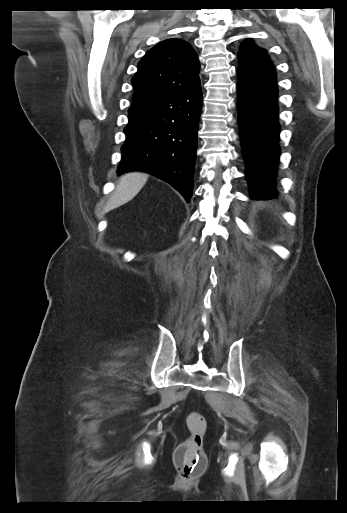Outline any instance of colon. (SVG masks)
<instances>
[{
    "label": "colon",
    "mask_w": 347,
    "mask_h": 513,
    "mask_svg": "<svg viewBox=\"0 0 347 513\" xmlns=\"http://www.w3.org/2000/svg\"><path fill=\"white\" fill-rule=\"evenodd\" d=\"M186 425L190 436L181 444L177 456L176 467L187 479L198 477L206 467V456L203 451V440L207 424L205 418L197 412L186 416Z\"/></svg>",
    "instance_id": "colon-1"
}]
</instances>
